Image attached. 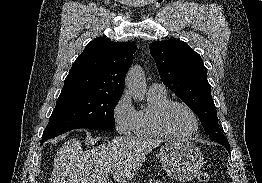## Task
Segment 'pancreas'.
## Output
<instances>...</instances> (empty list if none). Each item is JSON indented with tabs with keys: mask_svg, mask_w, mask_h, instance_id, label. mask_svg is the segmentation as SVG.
Wrapping results in <instances>:
<instances>
[{
	"mask_svg": "<svg viewBox=\"0 0 262 183\" xmlns=\"http://www.w3.org/2000/svg\"><path fill=\"white\" fill-rule=\"evenodd\" d=\"M148 183H161V182L155 179H149Z\"/></svg>",
	"mask_w": 262,
	"mask_h": 183,
	"instance_id": "1",
	"label": "pancreas"
}]
</instances>
